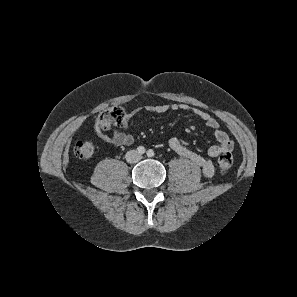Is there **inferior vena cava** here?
<instances>
[{
  "label": "inferior vena cava",
  "mask_w": 297,
  "mask_h": 297,
  "mask_svg": "<svg viewBox=\"0 0 297 297\" xmlns=\"http://www.w3.org/2000/svg\"><path fill=\"white\" fill-rule=\"evenodd\" d=\"M125 158L128 163H136L141 159V154L135 150H130L126 153Z\"/></svg>",
  "instance_id": "obj_1"
}]
</instances>
